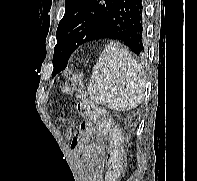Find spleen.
Here are the masks:
<instances>
[{"label":"spleen","mask_w":197,"mask_h":181,"mask_svg":"<svg viewBox=\"0 0 197 181\" xmlns=\"http://www.w3.org/2000/svg\"><path fill=\"white\" fill-rule=\"evenodd\" d=\"M145 85L142 65L122 45L112 42L93 68L88 95L112 110H130L142 102Z\"/></svg>","instance_id":"1"}]
</instances>
